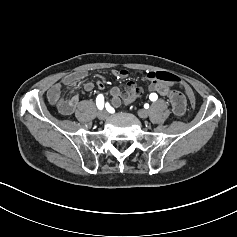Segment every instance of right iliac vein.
Masks as SVG:
<instances>
[{"mask_svg":"<svg viewBox=\"0 0 237 237\" xmlns=\"http://www.w3.org/2000/svg\"><path fill=\"white\" fill-rule=\"evenodd\" d=\"M107 116H108V114H107L106 111H100V112L98 113V118H99L100 120H105V119L107 118Z\"/></svg>","mask_w":237,"mask_h":237,"instance_id":"63e3f726","label":"right iliac vein"}]
</instances>
